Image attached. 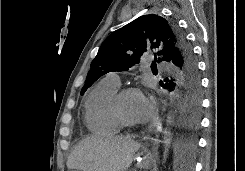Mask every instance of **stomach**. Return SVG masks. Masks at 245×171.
I'll use <instances>...</instances> for the list:
<instances>
[{
  "label": "stomach",
  "instance_id": "stomach-1",
  "mask_svg": "<svg viewBox=\"0 0 245 171\" xmlns=\"http://www.w3.org/2000/svg\"><path fill=\"white\" fill-rule=\"evenodd\" d=\"M137 164L139 167L141 168H148L151 164L150 160L145 158V157H142V154H138L137 157Z\"/></svg>",
  "mask_w": 245,
  "mask_h": 171
}]
</instances>
